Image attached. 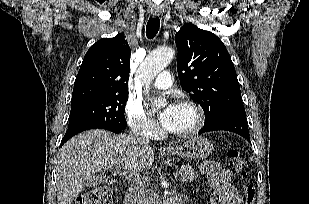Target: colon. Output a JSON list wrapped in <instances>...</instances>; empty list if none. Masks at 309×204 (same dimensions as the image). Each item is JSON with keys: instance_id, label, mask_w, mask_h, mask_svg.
I'll use <instances>...</instances> for the list:
<instances>
[{"instance_id": "5ec220e1", "label": "colon", "mask_w": 309, "mask_h": 204, "mask_svg": "<svg viewBox=\"0 0 309 204\" xmlns=\"http://www.w3.org/2000/svg\"><path fill=\"white\" fill-rule=\"evenodd\" d=\"M227 159L229 165L238 173L240 179L243 181L245 204H254L255 187L247 180L244 161L239 151L236 149H229L227 152ZM115 190V187L111 185L99 186L79 196L75 204H110Z\"/></svg>"}]
</instances>
